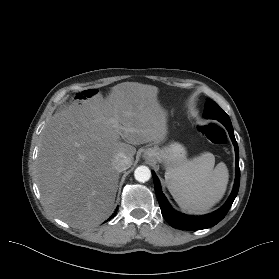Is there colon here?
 <instances>
[{"label":"colon","instance_id":"obj_1","mask_svg":"<svg viewBox=\"0 0 279 279\" xmlns=\"http://www.w3.org/2000/svg\"><path fill=\"white\" fill-rule=\"evenodd\" d=\"M85 97H90L91 92H86ZM201 136H203L209 143L214 145H224L227 142L226 131L217 124H205L198 128Z\"/></svg>","mask_w":279,"mask_h":279}]
</instances>
